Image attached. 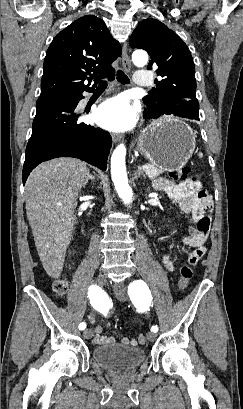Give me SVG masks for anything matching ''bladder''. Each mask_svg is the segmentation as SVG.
Returning <instances> with one entry per match:
<instances>
[{
    "label": "bladder",
    "instance_id": "obj_1",
    "mask_svg": "<svg viewBox=\"0 0 243 409\" xmlns=\"http://www.w3.org/2000/svg\"><path fill=\"white\" fill-rule=\"evenodd\" d=\"M94 361L113 373H123L137 368L145 360L141 347L116 343L96 346L92 351Z\"/></svg>",
    "mask_w": 243,
    "mask_h": 409
}]
</instances>
